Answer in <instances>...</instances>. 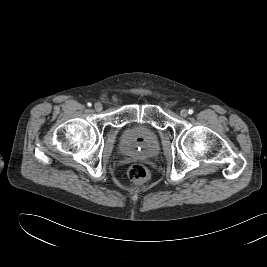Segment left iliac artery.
<instances>
[{"mask_svg": "<svg viewBox=\"0 0 267 267\" xmlns=\"http://www.w3.org/2000/svg\"><path fill=\"white\" fill-rule=\"evenodd\" d=\"M194 110L193 109H189L188 113L189 114H193Z\"/></svg>", "mask_w": 267, "mask_h": 267, "instance_id": "1", "label": "left iliac artery"}]
</instances>
